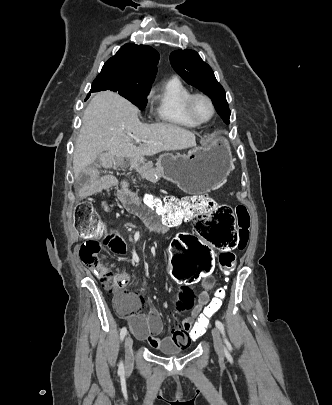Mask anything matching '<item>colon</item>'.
<instances>
[{"label":"colon","instance_id":"1","mask_svg":"<svg viewBox=\"0 0 332 405\" xmlns=\"http://www.w3.org/2000/svg\"><path fill=\"white\" fill-rule=\"evenodd\" d=\"M140 198L155 216L169 223L188 220L201 211V220H195L194 233L183 231L176 234L175 240H172L173 254L165 257V262L170 263L172 282H178L179 287H196L197 281H207L208 275L213 274V257H217L218 252L221 273L224 276L232 273L235 265L234 250L245 249L249 240L250 215L246 207H228L226 202H221L217 207V203L205 195L158 197L142 194ZM213 209L215 211H203ZM74 224L86 238L79 249L81 261L98 273L104 272V280L115 293L119 308L132 303L134 296L121 290L122 285L117 276L105 268V257L98 238L103 237L107 223L101 219L91 202L83 200L77 203ZM111 245L110 256H125V247H122L119 240L111 241ZM224 296L225 288L220 287L210 306L198 311L194 329L189 333L190 342L202 341L203 331H207L209 320L220 308Z\"/></svg>","mask_w":332,"mask_h":405}]
</instances>
